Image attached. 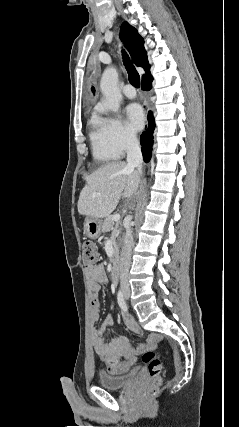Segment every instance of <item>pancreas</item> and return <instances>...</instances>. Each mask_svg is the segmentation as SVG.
<instances>
[{"label": "pancreas", "instance_id": "1", "mask_svg": "<svg viewBox=\"0 0 239 427\" xmlns=\"http://www.w3.org/2000/svg\"><path fill=\"white\" fill-rule=\"evenodd\" d=\"M114 221L112 220V216H108L105 218L104 222L102 223V232H108L113 228ZM120 231L115 229L113 232V242H114V253L112 258V263L115 262V259L118 255V247L116 245V238L119 235Z\"/></svg>", "mask_w": 239, "mask_h": 427}]
</instances>
